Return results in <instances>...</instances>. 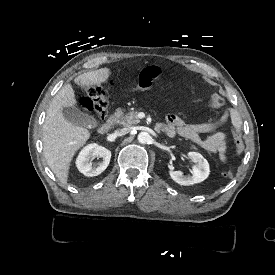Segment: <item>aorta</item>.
Segmentation results:
<instances>
[{"label":"aorta","mask_w":275,"mask_h":275,"mask_svg":"<svg viewBox=\"0 0 275 275\" xmlns=\"http://www.w3.org/2000/svg\"><path fill=\"white\" fill-rule=\"evenodd\" d=\"M139 143L146 144L151 141V136L148 132H140L137 137Z\"/></svg>","instance_id":"762f6f07"}]
</instances>
